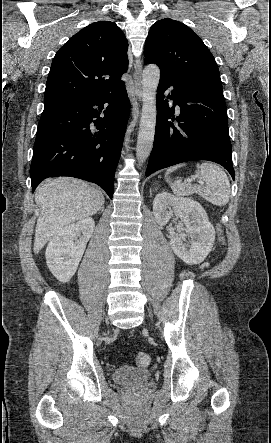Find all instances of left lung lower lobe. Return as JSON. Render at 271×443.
I'll return each mask as SVG.
<instances>
[{"instance_id":"1","label":"left lung lower lobe","mask_w":271,"mask_h":443,"mask_svg":"<svg viewBox=\"0 0 271 443\" xmlns=\"http://www.w3.org/2000/svg\"><path fill=\"white\" fill-rule=\"evenodd\" d=\"M160 71L154 146L145 175L182 162L208 160L226 168L234 180L221 83L163 68ZM170 87L173 90L167 98L173 100L171 108L164 99V92ZM176 105L180 107L177 117L174 115Z\"/></svg>"}]
</instances>
